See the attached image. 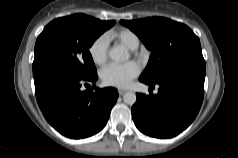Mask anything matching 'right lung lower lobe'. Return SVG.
Listing matches in <instances>:
<instances>
[{"label":"right lung lower lobe","mask_w":238,"mask_h":158,"mask_svg":"<svg viewBox=\"0 0 238 158\" xmlns=\"http://www.w3.org/2000/svg\"><path fill=\"white\" fill-rule=\"evenodd\" d=\"M32 68L38 105L58 132L80 139L103 129L118 98L115 88H90L97 75L87 78L51 61Z\"/></svg>","instance_id":"98d812e1"}]
</instances>
